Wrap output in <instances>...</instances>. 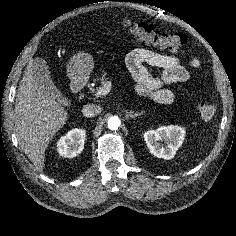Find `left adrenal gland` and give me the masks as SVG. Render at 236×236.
Instances as JSON below:
<instances>
[{
	"mask_svg": "<svg viewBox=\"0 0 236 236\" xmlns=\"http://www.w3.org/2000/svg\"><path fill=\"white\" fill-rule=\"evenodd\" d=\"M143 113H144V111H141V112L130 111V112L128 113V116H129L130 118H135V117H137V116L142 115Z\"/></svg>",
	"mask_w": 236,
	"mask_h": 236,
	"instance_id": "a2214340",
	"label": "left adrenal gland"
}]
</instances>
